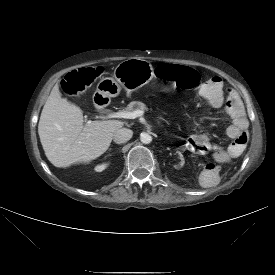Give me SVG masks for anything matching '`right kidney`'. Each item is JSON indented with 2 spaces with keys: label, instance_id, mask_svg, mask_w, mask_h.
<instances>
[{
  "label": "right kidney",
  "instance_id": "1",
  "mask_svg": "<svg viewBox=\"0 0 275 275\" xmlns=\"http://www.w3.org/2000/svg\"><path fill=\"white\" fill-rule=\"evenodd\" d=\"M107 166H108L107 163H103V164L97 165L95 167V171L101 172V171L105 170Z\"/></svg>",
  "mask_w": 275,
  "mask_h": 275
}]
</instances>
